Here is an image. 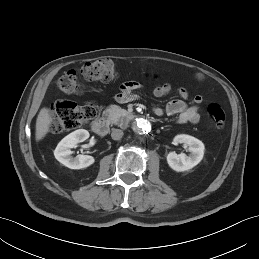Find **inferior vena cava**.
I'll return each mask as SVG.
<instances>
[{"label":"inferior vena cava","instance_id":"602c4592","mask_svg":"<svg viewBox=\"0 0 259 259\" xmlns=\"http://www.w3.org/2000/svg\"><path fill=\"white\" fill-rule=\"evenodd\" d=\"M111 137L113 140H120L123 137V131L120 129H113Z\"/></svg>","mask_w":259,"mask_h":259}]
</instances>
